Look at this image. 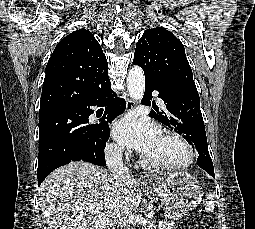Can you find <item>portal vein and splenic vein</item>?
<instances>
[{
  "label": "portal vein and splenic vein",
  "instance_id": "obj_1",
  "mask_svg": "<svg viewBox=\"0 0 255 229\" xmlns=\"http://www.w3.org/2000/svg\"><path fill=\"white\" fill-rule=\"evenodd\" d=\"M163 224V222H159V226H161Z\"/></svg>",
  "mask_w": 255,
  "mask_h": 229
}]
</instances>
